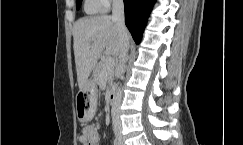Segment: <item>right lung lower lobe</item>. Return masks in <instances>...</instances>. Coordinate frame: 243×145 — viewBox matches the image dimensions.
<instances>
[{
  "instance_id": "obj_1",
  "label": "right lung lower lobe",
  "mask_w": 243,
  "mask_h": 145,
  "mask_svg": "<svg viewBox=\"0 0 243 145\" xmlns=\"http://www.w3.org/2000/svg\"><path fill=\"white\" fill-rule=\"evenodd\" d=\"M156 0H124L125 23L134 41L139 44L150 11Z\"/></svg>"
}]
</instances>
